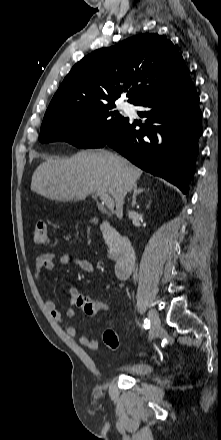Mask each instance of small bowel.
Segmentation results:
<instances>
[{
  "label": "small bowel",
  "instance_id": "1",
  "mask_svg": "<svg viewBox=\"0 0 221 440\" xmlns=\"http://www.w3.org/2000/svg\"><path fill=\"white\" fill-rule=\"evenodd\" d=\"M65 265H73L75 267L80 268L82 271L86 273H92L94 271V267L92 263L86 259H83L77 255L73 254H64L59 258H56L54 252H45L38 255L34 262L33 267V278L36 284L41 287L42 281V271L43 270H54L57 267L65 266ZM66 293L70 299V305L66 309L65 315L67 318H72L75 315V308L77 298L81 295L78 288L69 284L66 287ZM45 308L50 313L52 319L57 323L62 324L64 322V317L61 312L57 309L54 302L50 300L44 301ZM65 332L69 337L75 338L78 336V331L74 326H66ZM79 342L92 350H96L99 347V343L97 340L92 339L88 336L82 335L79 337Z\"/></svg>",
  "mask_w": 221,
  "mask_h": 440
}]
</instances>
